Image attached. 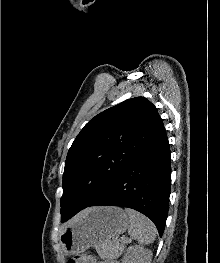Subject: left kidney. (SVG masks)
Segmentation results:
<instances>
[{
  "label": "left kidney",
  "mask_w": 220,
  "mask_h": 263,
  "mask_svg": "<svg viewBox=\"0 0 220 263\" xmlns=\"http://www.w3.org/2000/svg\"><path fill=\"white\" fill-rule=\"evenodd\" d=\"M152 252L139 246L128 248L122 263H151Z\"/></svg>",
  "instance_id": "left-kidney-1"
}]
</instances>
